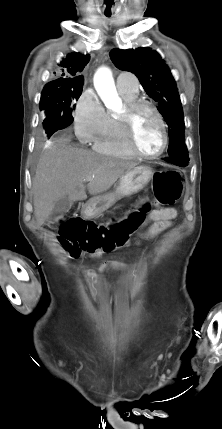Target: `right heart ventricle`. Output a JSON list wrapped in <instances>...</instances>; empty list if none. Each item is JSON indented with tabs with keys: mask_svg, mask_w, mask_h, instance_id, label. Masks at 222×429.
Returning <instances> with one entry per match:
<instances>
[{
	"mask_svg": "<svg viewBox=\"0 0 222 429\" xmlns=\"http://www.w3.org/2000/svg\"><path fill=\"white\" fill-rule=\"evenodd\" d=\"M126 102L137 99V93L120 92ZM94 149L102 154L118 158L132 159L135 155L127 147L119 117L108 115L102 134L94 141Z\"/></svg>",
	"mask_w": 222,
	"mask_h": 429,
	"instance_id": "obj_1",
	"label": "right heart ventricle"
}]
</instances>
